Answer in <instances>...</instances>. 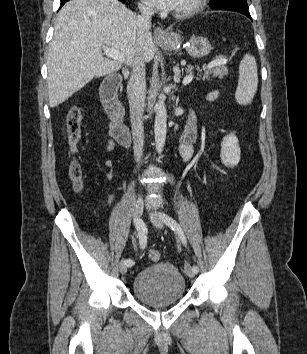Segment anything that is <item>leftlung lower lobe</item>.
Instances as JSON below:
<instances>
[{"label":"left lung lower lobe","instance_id":"left-lung-lower-lobe-1","mask_svg":"<svg viewBox=\"0 0 307 354\" xmlns=\"http://www.w3.org/2000/svg\"><path fill=\"white\" fill-rule=\"evenodd\" d=\"M213 9H216V10H230V11L239 12V13H242V14L246 15L248 18H250V19L252 20L248 9H241V8H223V7H217V8H213Z\"/></svg>","mask_w":307,"mask_h":354}]
</instances>
